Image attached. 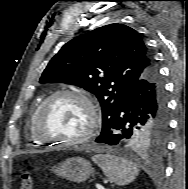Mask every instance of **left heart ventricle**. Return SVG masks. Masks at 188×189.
<instances>
[{
  "mask_svg": "<svg viewBox=\"0 0 188 189\" xmlns=\"http://www.w3.org/2000/svg\"><path fill=\"white\" fill-rule=\"evenodd\" d=\"M89 120V110L83 101L63 96L53 101L46 112L42 134L47 138H75L85 131Z\"/></svg>",
  "mask_w": 188,
  "mask_h": 189,
  "instance_id": "obj_1",
  "label": "left heart ventricle"
}]
</instances>
